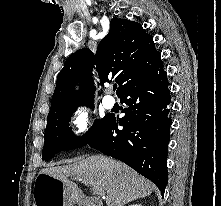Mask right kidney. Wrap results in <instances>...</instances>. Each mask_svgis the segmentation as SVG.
Masks as SVG:
<instances>
[{
    "instance_id": "right-kidney-1",
    "label": "right kidney",
    "mask_w": 221,
    "mask_h": 206,
    "mask_svg": "<svg viewBox=\"0 0 221 206\" xmlns=\"http://www.w3.org/2000/svg\"><path fill=\"white\" fill-rule=\"evenodd\" d=\"M129 206H142L141 204H131Z\"/></svg>"
}]
</instances>
